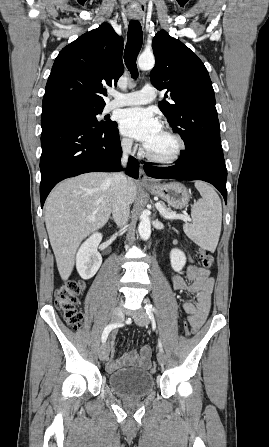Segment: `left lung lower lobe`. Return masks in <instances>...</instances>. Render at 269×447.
<instances>
[{"label":"left lung lower lobe","instance_id":"0a47b994","mask_svg":"<svg viewBox=\"0 0 269 447\" xmlns=\"http://www.w3.org/2000/svg\"><path fill=\"white\" fill-rule=\"evenodd\" d=\"M176 163L171 167L145 165L144 170L148 176L153 178L209 182L220 191L227 203V169L221 146L201 147L193 154L180 155Z\"/></svg>","mask_w":269,"mask_h":447}]
</instances>
